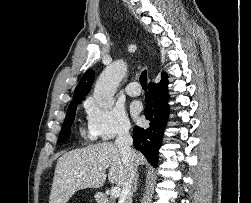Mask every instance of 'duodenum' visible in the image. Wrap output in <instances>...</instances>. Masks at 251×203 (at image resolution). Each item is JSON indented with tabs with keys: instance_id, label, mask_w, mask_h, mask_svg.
I'll list each match as a JSON object with an SVG mask.
<instances>
[{
	"instance_id": "1",
	"label": "duodenum",
	"mask_w": 251,
	"mask_h": 203,
	"mask_svg": "<svg viewBox=\"0 0 251 203\" xmlns=\"http://www.w3.org/2000/svg\"><path fill=\"white\" fill-rule=\"evenodd\" d=\"M96 199L99 203H109L108 198L103 193H97Z\"/></svg>"
}]
</instances>
